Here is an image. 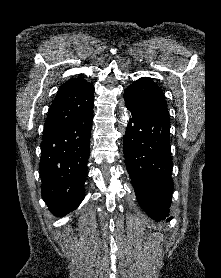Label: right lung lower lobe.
I'll list each match as a JSON object with an SVG mask.
<instances>
[{
  "instance_id": "obj_1",
  "label": "right lung lower lobe",
  "mask_w": 221,
  "mask_h": 278,
  "mask_svg": "<svg viewBox=\"0 0 221 278\" xmlns=\"http://www.w3.org/2000/svg\"><path fill=\"white\" fill-rule=\"evenodd\" d=\"M92 119L93 106L84 116L42 140V198L57 217L70 213L84 199Z\"/></svg>"
}]
</instances>
